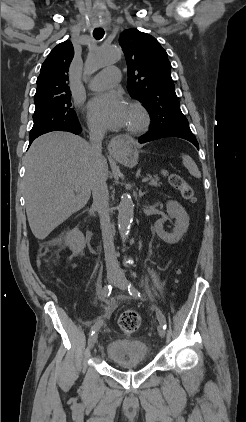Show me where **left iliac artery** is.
<instances>
[{
  "mask_svg": "<svg viewBox=\"0 0 246 422\" xmlns=\"http://www.w3.org/2000/svg\"><path fill=\"white\" fill-rule=\"evenodd\" d=\"M128 292L134 298L141 297V293L132 284L128 285ZM156 315L159 323L166 329V319L159 308H156Z\"/></svg>",
  "mask_w": 246,
  "mask_h": 422,
  "instance_id": "44dca946",
  "label": "left iliac artery"
}]
</instances>
